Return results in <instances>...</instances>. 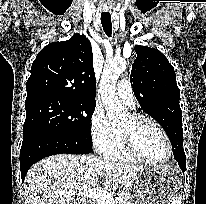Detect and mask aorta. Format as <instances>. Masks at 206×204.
<instances>
[{
	"label": "aorta",
	"instance_id": "aorta-1",
	"mask_svg": "<svg viewBox=\"0 0 206 204\" xmlns=\"http://www.w3.org/2000/svg\"><path fill=\"white\" fill-rule=\"evenodd\" d=\"M125 68L126 61L115 58L104 65L101 75L99 92L107 115L113 121L123 119L127 113L116 94L117 80Z\"/></svg>",
	"mask_w": 206,
	"mask_h": 204
}]
</instances>
